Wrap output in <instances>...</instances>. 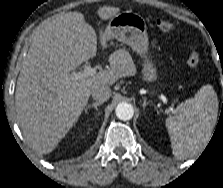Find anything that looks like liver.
Returning a JSON list of instances; mask_svg holds the SVG:
<instances>
[{"label": "liver", "mask_w": 223, "mask_h": 188, "mask_svg": "<svg viewBox=\"0 0 223 188\" xmlns=\"http://www.w3.org/2000/svg\"><path fill=\"white\" fill-rule=\"evenodd\" d=\"M120 8L101 7V20L116 15ZM107 34L100 29L99 41L107 48ZM97 36L80 12H68L45 20L33 37L20 71L15 106L17 122L28 144L39 154L54 150L76 123L92 90L112 85L126 76V64L110 58V69L81 80H70L69 72L93 58Z\"/></svg>", "instance_id": "liver-1"}]
</instances>
